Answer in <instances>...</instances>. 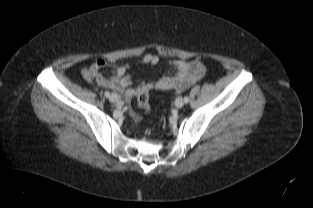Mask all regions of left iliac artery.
Returning <instances> with one entry per match:
<instances>
[{
	"mask_svg": "<svg viewBox=\"0 0 313 208\" xmlns=\"http://www.w3.org/2000/svg\"><path fill=\"white\" fill-rule=\"evenodd\" d=\"M184 102H185V103H188V102H189V97H187V96L184 97Z\"/></svg>",
	"mask_w": 313,
	"mask_h": 208,
	"instance_id": "1",
	"label": "left iliac artery"
}]
</instances>
